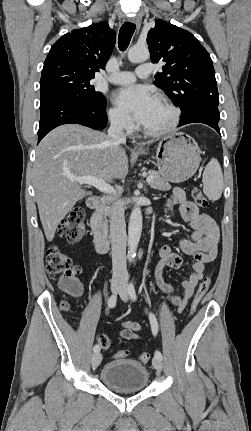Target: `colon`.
<instances>
[{
	"label": "colon",
	"mask_w": 251,
	"mask_h": 431,
	"mask_svg": "<svg viewBox=\"0 0 251 431\" xmlns=\"http://www.w3.org/2000/svg\"><path fill=\"white\" fill-rule=\"evenodd\" d=\"M192 197L199 207L203 209L209 207V202L207 198L199 189L193 190ZM84 217L85 212L83 208H73L59 225V236L70 243L79 241L84 233ZM46 260L48 274L51 276H58L60 279L61 286L66 291L75 295L79 294L81 291V285L77 279V275L80 273V267L77 265H73L69 256L56 246H51L48 248L46 252ZM210 284V277L204 278L203 281L199 284V287L194 295L191 304L190 314H193L196 311L202 299L208 292ZM62 309L65 311L68 310L69 304L67 302H63ZM97 342L100 345V349H107L111 344L109 338L106 336H98ZM128 354V350H120L115 354V357L124 358ZM150 358L151 356L147 352H143L140 355V360L143 363H148L150 361Z\"/></svg>",
	"instance_id": "colon-1"
}]
</instances>
